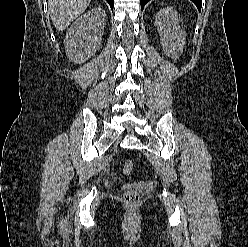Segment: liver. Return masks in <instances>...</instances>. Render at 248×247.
<instances>
[{
  "label": "liver",
  "mask_w": 248,
  "mask_h": 247,
  "mask_svg": "<svg viewBox=\"0 0 248 247\" xmlns=\"http://www.w3.org/2000/svg\"><path fill=\"white\" fill-rule=\"evenodd\" d=\"M91 0H48L50 17L56 29L63 31L82 14Z\"/></svg>",
  "instance_id": "obj_1"
}]
</instances>
